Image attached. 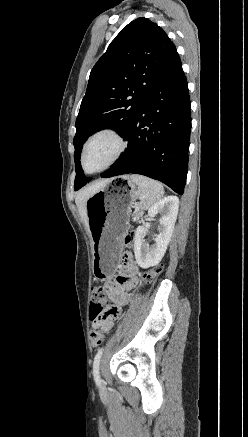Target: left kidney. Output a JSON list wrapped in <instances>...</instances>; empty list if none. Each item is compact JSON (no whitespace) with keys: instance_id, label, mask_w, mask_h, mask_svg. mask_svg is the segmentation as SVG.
Instances as JSON below:
<instances>
[{"instance_id":"1","label":"left kidney","mask_w":248,"mask_h":437,"mask_svg":"<svg viewBox=\"0 0 248 437\" xmlns=\"http://www.w3.org/2000/svg\"><path fill=\"white\" fill-rule=\"evenodd\" d=\"M178 208L179 199L176 196H168L149 209V220L158 213L162 215L159 220L160 226L158 227V234H156L154 244L149 245L148 242H145L144 238L147 234V229L144 226H139L136 229L134 253L136 261L141 268L147 269L151 266H155L162 260L172 236Z\"/></svg>"}]
</instances>
